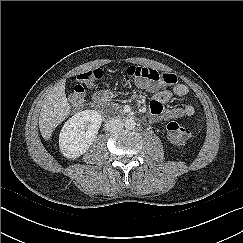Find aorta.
I'll list each match as a JSON object with an SVG mask.
<instances>
[{"label": "aorta", "mask_w": 243, "mask_h": 243, "mask_svg": "<svg viewBox=\"0 0 243 243\" xmlns=\"http://www.w3.org/2000/svg\"><path fill=\"white\" fill-rule=\"evenodd\" d=\"M124 126L127 130H132L135 128L136 122L130 118V119L125 120Z\"/></svg>", "instance_id": "762f6f07"}]
</instances>
